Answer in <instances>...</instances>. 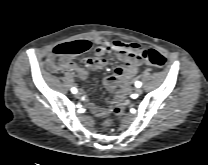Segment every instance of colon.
I'll list each match as a JSON object with an SVG mask.
<instances>
[{
    "instance_id": "obj_1",
    "label": "colon",
    "mask_w": 208,
    "mask_h": 165,
    "mask_svg": "<svg viewBox=\"0 0 208 165\" xmlns=\"http://www.w3.org/2000/svg\"><path fill=\"white\" fill-rule=\"evenodd\" d=\"M91 45L85 40H77L72 42H66L57 45L50 56L47 59V67L51 72H56L60 69V65L70 59L71 57L83 54L90 49ZM140 57L142 60L149 64L162 68L166 65V58L155 49H141ZM124 91V90H123ZM118 101L115 103L113 112L117 116H121L124 111V100L122 93L116 94ZM112 124V121L107 120L104 122V126L108 127Z\"/></svg>"
}]
</instances>
